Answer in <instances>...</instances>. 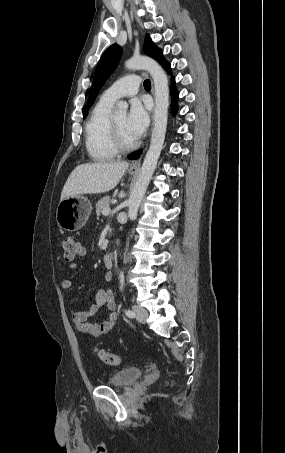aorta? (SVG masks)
<instances>
[{"label": "aorta", "mask_w": 285, "mask_h": 453, "mask_svg": "<svg viewBox=\"0 0 285 453\" xmlns=\"http://www.w3.org/2000/svg\"><path fill=\"white\" fill-rule=\"evenodd\" d=\"M125 67L128 70H147L153 78L155 88L154 128L151 143L128 200V218L133 219L137 216L140 203L163 148L168 119L169 87L168 78L164 70L155 60L149 57H132L125 62ZM127 109L128 103L125 101H119L116 105V113L126 114Z\"/></svg>", "instance_id": "762f6f07"}]
</instances>
